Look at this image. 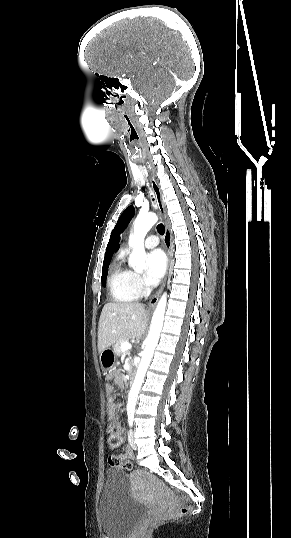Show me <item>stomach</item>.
<instances>
[{"label":"stomach","instance_id":"0dacf381","mask_svg":"<svg viewBox=\"0 0 291 538\" xmlns=\"http://www.w3.org/2000/svg\"><path fill=\"white\" fill-rule=\"evenodd\" d=\"M116 353L113 348H106L100 353L101 368L105 371L110 369L116 361Z\"/></svg>","mask_w":291,"mask_h":538}]
</instances>
